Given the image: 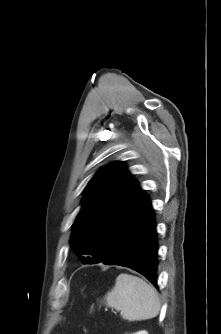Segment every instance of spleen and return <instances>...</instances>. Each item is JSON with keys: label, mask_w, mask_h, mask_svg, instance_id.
<instances>
[{"label": "spleen", "mask_w": 221, "mask_h": 334, "mask_svg": "<svg viewBox=\"0 0 221 334\" xmlns=\"http://www.w3.org/2000/svg\"><path fill=\"white\" fill-rule=\"evenodd\" d=\"M106 305L121 311L123 319L142 321L154 318L160 311L155 288L134 275L121 273L106 295Z\"/></svg>", "instance_id": "spleen-1"}]
</instances>
